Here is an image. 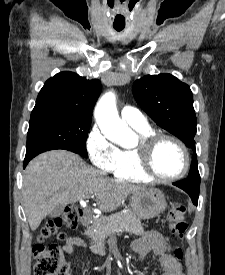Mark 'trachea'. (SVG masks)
<instances>
[{
  "instance_id": "obj_1",
  "label": "trachea",
  "mask_w": 225,
  "mask_h": 275,
  "mask_svg": "<svg viewBox=\"0 0 225 275\" xmlns=\"http://www.w3.org/2000/svg\"><path fill=\"white\" fill-rule=\"evenodd\" d=\"M116 31H122L124 27H114Z\"/></svg>"
}]
</instances>
